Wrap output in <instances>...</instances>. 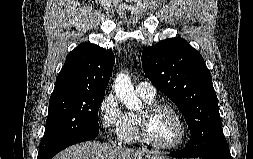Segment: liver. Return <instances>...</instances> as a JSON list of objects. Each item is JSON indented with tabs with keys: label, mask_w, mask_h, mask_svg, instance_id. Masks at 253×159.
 I'll use <instances>...</instances> for the list:
<instances>
[{
	"label": "liver",
	"mask_w": 253,
	"mask_h": 159,
	"mask_svg": "<svg viewBox=\"0 0 253 159\" xmlns=\"http://www.w3.org/2000/svg\"><path fill=\"white\" fill-rule=\"evenodd\" d=\"M169 159L151 151L114 147L96 141L73 145L52 159Z\"/></svg>",
	"instance_id": "6515ba94"
}]
</instances>
